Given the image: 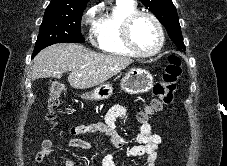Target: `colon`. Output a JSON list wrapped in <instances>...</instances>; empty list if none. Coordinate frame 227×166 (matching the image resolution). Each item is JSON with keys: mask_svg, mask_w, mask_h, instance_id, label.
<instances>
[{"mask_svg": "<svg viewBox=\"0 0 227 166\" xmlns=\"http://www.w3.org/2000/svg\"><path fill=\"white\" fill-rule=\"evenodd\" d=\"M182 74L180 58L177 55L169 57V64L163 74L162 80L153 86V99L146 109L139 114V120L145 121L149 115L162 110L164 105L173 103L176 92L177 82ZM48 91L50 95L49 113L47 118H55V110L59 103V98L64 95L66 87L63 83L52 80L48 82Z\"/></svg>", "mask_w": 227, "mask_h": 166, "instance_id": "5ec220e1", "label": "colon"}]
</instances>
